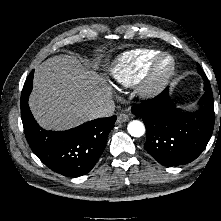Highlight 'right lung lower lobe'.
Segmentation results:
<instances>
[{"mask_svg":"<svg viewBox=\"0 0 221 221\" xmlns=\"http://www.w3.org/2000/svg\"><path fill=\"white\" fill-rule=\"evenodd\" d=\"M33 74L34 71L27 77L21 94V118L30 148L47 167L59 174L77 177L88 173L105 148L116 116L95 119L62 132L42 129L28 106Z\"/></svg>","mask_w":221,"mask_h":221,"instance_id":"1","label":"right lung lower lobe"}]
</instances>
